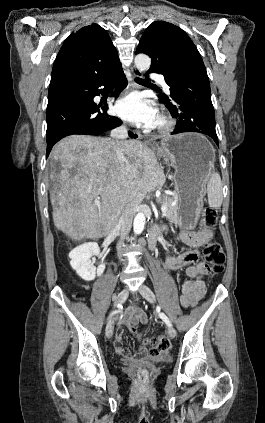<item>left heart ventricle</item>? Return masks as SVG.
<instances>
[{"label":"left heart ventricle","mask_w":265,"mask_h":423,"mask_svg":"<svg viewBox=\"0 0 265 423\" xmlns=\"http://www.w3.org/2000/svg\"><path fill=\"white\" fill-rule=\"evenodd\" d=\"M159 117H157V119H156V121H155V123H154V125L153 126H155V125H157V124H159Z\"/></svg>","instance_id":"1"}]
</instances>
